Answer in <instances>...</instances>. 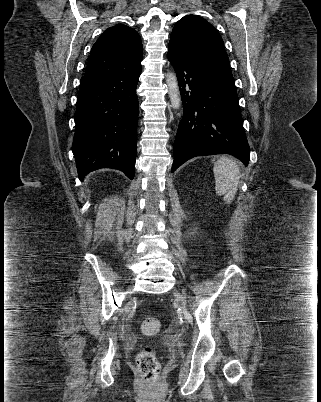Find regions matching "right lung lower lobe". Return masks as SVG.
Wrapping results in <instances>:
<instances>
[{"label":"right lung lower lobe","instance_id":"1","mask_svg":"<svg viewBox=\"0 0 321 402\" xmlns=\"http://www.w3.org/2000/svg\"><path fill=\"white\" fill-rule=\"evenodd\" d=\"M141 69L101 72L81 78L72 151L79 178L113 168L133 179Z\"/></svg>","mask_w":321,"mask_h":402}]
</instances>
